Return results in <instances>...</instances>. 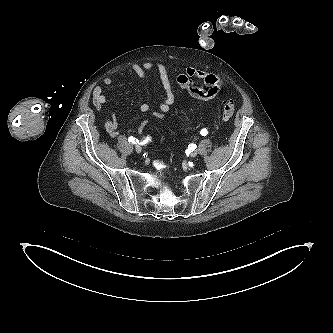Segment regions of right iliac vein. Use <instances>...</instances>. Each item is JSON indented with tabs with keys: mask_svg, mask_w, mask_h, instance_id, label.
I'll use <instances>...</instances> for the list:
<instances>
[{
	"mask_svg": "<svg viewBox=\"0 0 333 333\" xmlns=\"http://www.w3.org/2000/svg\"><path fill=\"white\" fill-rule=\"evenodd\" d=\"M135 151L137 152V153H141V151H142V148L140 147V146H135Z\"/></svg>",
	"mask_w": 333,
	"mask_h": 333,
	"instance_id": "1",
	"label": "right iliac vein"
}]
</instances>
